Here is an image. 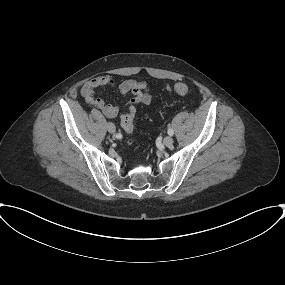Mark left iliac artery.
Segmentation results:
<instances>
[{
	"label": "left iliac artery",
	"instance_id": "left-iliac-artery-1",
	"mask_svg": "<svg viewBox=\"0 0 285 285\" xmlns=\"http://www.w3.org/2000/svg\"><path fill=\"white\" fill-rule=\"evenodd\" d=\"M168 134H169L170 136H172V135L174 134V131H173L171 128H169V129H168Z\"/></svg>",
	"mask_w": 285,
	"mask_h": 285
}]
</instances>
